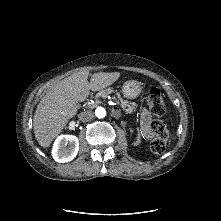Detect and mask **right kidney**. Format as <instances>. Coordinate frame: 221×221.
Here are the masks:
<instances>
[{
	"instance_id": "obj_1",
	"label": "right kidney",
	"mask_w": 221,
	"mask_h": 221,
	"mask_svg": "<svg viewBox=\"0 0 221 221\" xmlns=\"http://www.w3.org/2000/svg\"><path fill=\"white\" fill-rule=\"evenodd\" d=\"M79 150V140L73 135H61L57 138L52 149V156L59 163L72 161Z\"/></svg>"
}]
</instances>
